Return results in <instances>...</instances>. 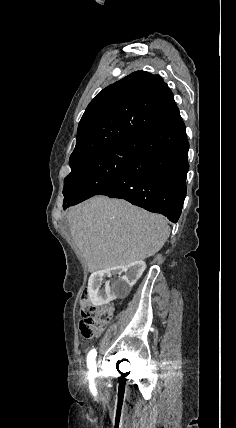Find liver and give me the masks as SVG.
Returning <instances> with one entry per match:
<instances>
[{"mask_svg":"<svg viewBox=\"0 0 236 428\" xmlns=\"http://www.w3.org/2000/svg\"><path fill=\"white\" fill-rule=\"evenodd\" d=\"M67 220L89 272L150 258L163 248L171 232L164 216L106 196H94L70 208Z\"/></svg>","mask_w":236,"mask_h":428,"instance_id":"obj_1","label":"liver"}]
</instances>
